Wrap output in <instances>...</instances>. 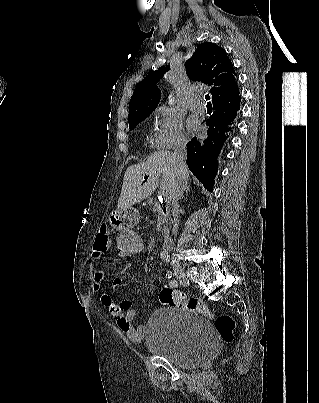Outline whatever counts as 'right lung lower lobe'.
<instances>
[{
  "instance_id": "1",
  "label": "right lung lower lobe",
  "mask_w": 319,
  "mask_h": 403,
  "mask_svg": "<svg viewBox=\"0 0 319 403\" xmlns=\"http://www.w3.org/2000/svg\"><path fill=\"white\" fill-rule=\"evenodd\" d=\"M240 100L241 96L238 91L214 102L215 111L205 121L208 126V137L203 141H197L194 137L187 144V165L204 187L211 192L218 169L217 157L227 138L225 132L231 130L227 126L232 123L240 109Z\"/></svg>"
}]
</instances>
